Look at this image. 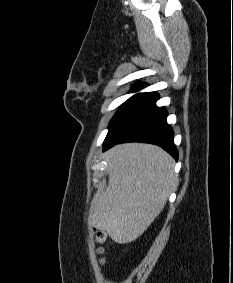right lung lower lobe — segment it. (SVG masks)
Wrapping results in <instances>:
<instances>
[{
  "mask_svg": "<svg viewBox=\"0 0 233 283\" xmlns=\"http://www.w3.org/2000/svg\"><path fill=\"white\" fill-rule=\"evenodd\" d=\"M158 98L155 92L142 93L105 139L103 151L119 143L144 142L162 147L178 160V150L173 142L174 132L166 122V109L156 106Z\"/></svg>",
  "mask_w": 233,
  "mask_h": 283,
  "instance_id": "obj_1",
  "label": "right lung lower lobe"
}]
</instances>
